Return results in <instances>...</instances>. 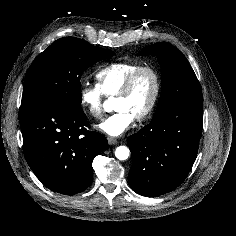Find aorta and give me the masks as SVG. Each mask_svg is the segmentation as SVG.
Returning <instances> with one entry per match:
<instances>
[{
	"label": "aorta",
	"instance_id": "obj_1",
	"mask_svg": "<svg viewBox=\"0 0 236 236\" xmlns=\"http://www.w3.org/2000/svg\"><path fill=\"white\" fill-rule=\"evenodd\" d=\"M130 155V150L126 146H119L115 150V156L119 160H126Z\"/></svg>",
	"mask_w": 236,
	"mask_h": 236
}]
</instances>
